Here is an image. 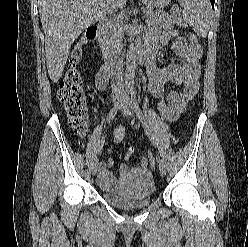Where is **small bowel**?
Instances as JSON below:
<instances>
[{"mask_svg":"<svg viewBox=\"0 0 248 247\" xmlns=\"http://www.w3.org/2000/svg\"><path fill=\"white\" fill-rule=\"evenodd\" d=\"M174 32L167 30L157 32L144 43L143 47L149 52L148 59V79L149 90L152 96L160 100L164 95V86L168 83L181 85L182 90H171L167 95L169 107L168 120H174L184 110L187 101L191 100L199 90L200 59L202 57L201 46L188 42L184 37H177L172 44L174 53L184 60L183 64L159 65L158 57L162 51H166L170 40L174 37ZM108 83L107 71L104 66L95 77V85L99 91H103ZM124 136V129L119 127L113 137L116 142H120ZM133 148H128L125 153V160L129 161ZM114 165L113 159L109 158L107 163H100L98 180L101 186L108 189H117L121 177L132 169L145 168L148 165L146 156H140L135 163H122L120 165V178L117 180L110 170Z\"/></svg>","mask_w":248,"mask_h":247,"instance_id":"small-bowel-1","label":"small bowel"}]
</instances>
